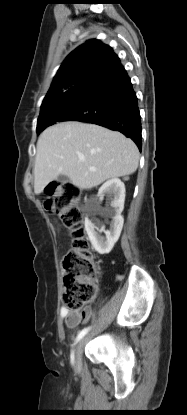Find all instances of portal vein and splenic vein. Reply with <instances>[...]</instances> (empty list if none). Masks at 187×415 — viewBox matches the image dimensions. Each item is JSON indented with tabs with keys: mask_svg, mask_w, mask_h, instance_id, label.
I'll use <instances>...</instances> for the list:
<instances>
[{
	"mask_svg": "<svg viewBox=\"0 0 187 415\" xmlns=\"http://www.w3.org/2000/svg\"><path fill=\"white\" fill-rule=\"evenodd\" d=\"M84 159L83 158H80V161H83ZM90 170H94L93 168H90Z\"/></svg>",
	"mask_w": 187,
	"mask_h": 415,
	"instance_id": "1",
	"label": "portal vein and splenic vein"
}]
</instances>
